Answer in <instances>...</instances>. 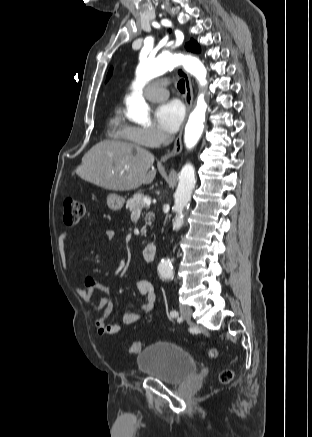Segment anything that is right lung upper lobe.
I'll use <instances>...</instances> for the list:
<instances>
[{
	"label": "right lung upper lobe",
	"instance_id": "1",
	"mask_svg": "<svg viewBox=\"0 0 312 437\" xmlns=\"http://www.w3.org/2000/svg\"><path fill=\"white\" fill-rule=\"evenodd\" d=\"M111 74H112V68L110 69V71H109V73H108V75H107V79H109V77L111 76Z\"/></svg>",
	"mask_w": 312,
	"mask_h": 437
}]
</instances>
